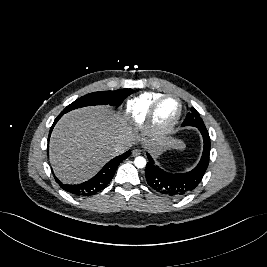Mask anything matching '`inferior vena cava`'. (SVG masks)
<instances>
[{
	"instance_id": "inferior-vena-cava-1",
	"label": "inferior vena cava",
	"mask_w": 267,
	"mask_h": 267,
	"mask_svg": "<svg viewBox=\"0 0 267 267\" xmlns=\"http://www.w3.org/2000/svg\"><path fill=\"white\" fill-rule=\"evenodd\" d=\"M127 145L125 144H117L115 145V147L113 148L114 154L115 155H119L125 152V150L127 149Z\"/></svg>"
}]
</instances>
